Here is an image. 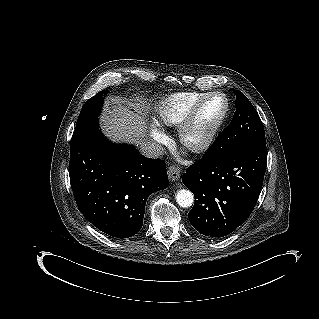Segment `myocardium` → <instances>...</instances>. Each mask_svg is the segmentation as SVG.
Returning <instances> with one entry per match:
<instances>
[{
    "mask_svg": "<svg viewBox=\"0 0 319 319\" xmlns=\"http://www.w3.org/2000/svg\"><path fill=\"white\" fill-rule=\"evenodd\" d=\"M222 98L223 109L217 120L214 122L209 131L197 142L191 143L187 141V134L198 118L201 109L213 98ZM229 110V103L225 95L221 92H211L206 94L194 107L190 110L186 118L177 126L176 139L179 147L184 151L191 153H201L205 151L215 139L219 132Z\"/></svg>",
    "mask_w": 319,
    "mask_h": 319,
    "instance_id": "1",
    "label": "myocardium"
}]
</instances>
